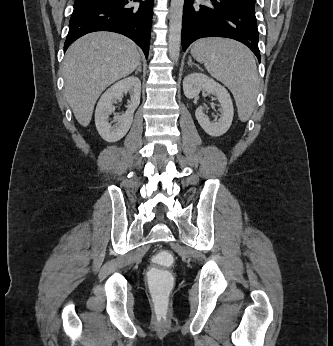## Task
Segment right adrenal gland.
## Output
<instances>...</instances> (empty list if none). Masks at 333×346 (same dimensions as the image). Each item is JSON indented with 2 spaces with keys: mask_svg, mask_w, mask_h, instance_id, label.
Listing matches in <instances>:
<instances>
[{
  "mask_svg": "<svg viewBox=\"0 0 333 346\" xmlns=\"http://www.w3.org/2000/svg\"><path fill=\"white\" fill-rule=\"evenodd\" d=\"M142 71V69H141V62L139 63V65H138V67H137V69H136V71H135V75L138 73V72H141Z\"/></svg>",
  "mask_w": 333,
  "mask_h": 346,
  "instance_id": "2a0ac1e0",
  "label": "right adrenal gland"
}]
</instances>
